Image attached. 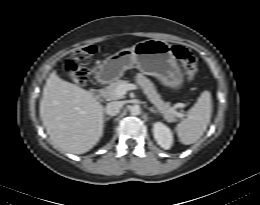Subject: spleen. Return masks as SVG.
<instances>
[{
  "label": "spleen",
  "instance_id": "obj_1",
  "mask_svg": "<svg viewBox=\"0 0 260 205\" xmlns=\"http://www.w3.org/2000/svg\"><path fill=\"white\" fill-rule=\"evenodd\" d=\"M212 113V99L209 91H203L194 106L188 111L176 127L180 141L185 144H193L207 129Z\"/></svg>",
  "mask_w": 260,
  "mask_h": 205
}]
</instances>
